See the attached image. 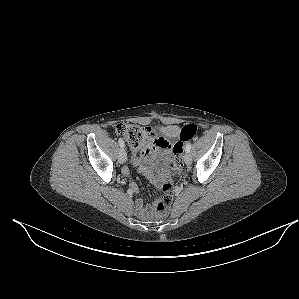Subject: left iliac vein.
Masks as SVG:
<instances>
[{"mask_svg": "<svg viewBox=\"0 0 299 299\" xmlns=\"http://www.w3.org/2000/svg\"><path fill=\"white\" fill-rule=\"evenodd\" d=\"M184 161L187 165L191 164L192 162V158L191 155L189 154V152H186L184 155Z\"/></svg>", "mask_w": 299, "mask_h": 299, "instance_id": "obj_1", "label": "left iliac vein"}]
</instances>
